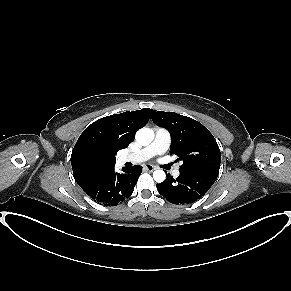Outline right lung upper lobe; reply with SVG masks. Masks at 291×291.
<instances>
[{
	"mask_svg": "<svg viewBox=\"0 0 291 291\" xmlns=\"http://www.w3.org/2000/svg\"><path fill=\"white\" fill-rule=\"evenodd\" d=\"M152 109L103 117L89 125L77 140L71 164L75 181L83 186L115 167L116 154L128 147L138 129L148 122Z\"/></svg>",
	"mask_w": 291,
	"mask_h": 291,
	"instance_id": "right-lung-upper-lobe-1",
	"label": "right lung upper lobe"
}]
</instances>
